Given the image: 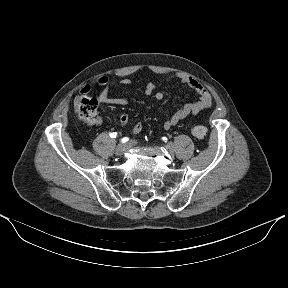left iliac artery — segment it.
Instances as JSON below:
<instances>
[{"label": "left iliac artery", "instance_id": "obj_1", "mask_svg": "<svg viewBox=\"0 0 288 288\" xmlns=\"http://www.w3.org/2000/svg\"><path fill=\"white\" fill-rule=\"evenodd\" d=\"M162 142L163 143H168L169 142V137L168 136H163L162 137Z\"/></svg>", "mask_w": 288, "mask_h": 288}]
</instances>
